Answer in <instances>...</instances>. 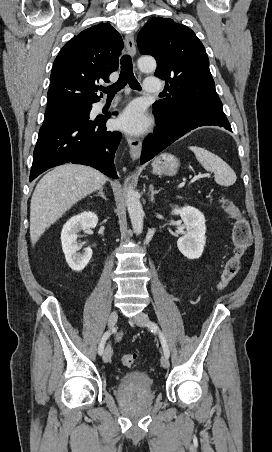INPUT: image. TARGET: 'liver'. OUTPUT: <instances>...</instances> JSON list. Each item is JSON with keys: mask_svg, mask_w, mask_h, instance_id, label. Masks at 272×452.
Listing matches in <instances>:
<instances>
[{"mask_svg": "<svg viewBox=\"0 0 272 452\" xmlns=\"http://www.w3.org/2000/svg\"><path fill=\"white\" fill-rule=\"evenodd\" d=\"M106 181L100 171L79 164H64L45 174L31 198L32 244L74 204L102 188Z\"/></svg>", "mask_w": 272, "mask_h": 452, "instance_id": "liver-1", "label": "liver"}]
</instances>
